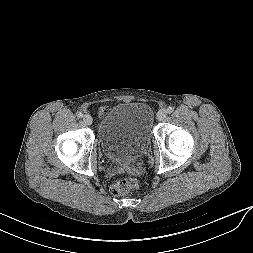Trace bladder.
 Masks as SVG:
<instances>
[{"instance_id": "31cf9c89", "label": "bladder", "mask_w": 253, "mask_h": 253, "mask_svg": "<svg viewBox=\"0 0 253 253\" xmlns=\"http://www.w3.org/2000/svg\"><path fill=\"white\" fill-rule=\"evenodd\" d=\"M153 111L144 102H121L102 118L98 127L100 146L114 163L137 160L150 143Z\"/></svg>"}]
</instances>
